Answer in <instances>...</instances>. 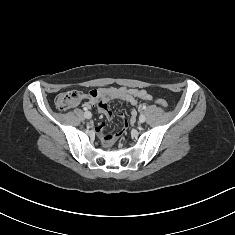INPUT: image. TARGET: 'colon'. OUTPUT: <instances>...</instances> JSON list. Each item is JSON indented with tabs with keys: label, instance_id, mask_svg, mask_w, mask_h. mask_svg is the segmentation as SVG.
Listing matches in <instances>:
<instances>
[{
	"label": "colon",
	"instance_id": "colon-1",
	"mask_svg": "<svg viewBox=\"0 0 235 235\" xmlns=\"http://www.w3.org/2000/svg\"><path fill=\"white\" fill-rule=\"evenodd\" d=\"M82 99L83 95L79 91L72 90L58 94L55 98V104L60 110H68L70 108L75 107ZM156 103L164 108L168 105L166 100L162 98H157ZM116 138V134L106 135L104 138V142L110 144Z\"/></svg>",
	"mask_w": 235,
	"mask_h": 235
}]
</instances>
